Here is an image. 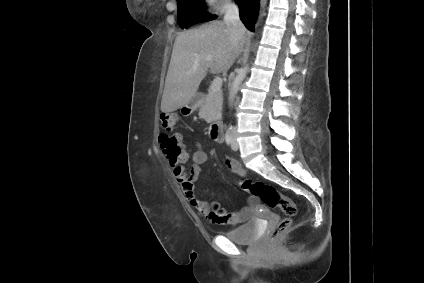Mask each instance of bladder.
Listing matches in <instances>:
<instances>
[{
    "label": "bladder",
    "mask_w": 424,
    "mask_h": 283,
    "mask_svg": "<svg viewBox=\"0 0 424 283\" xmlns=\"http://www.w3.org/2000/svg\"><path fill=\"white\" fill-rule=\"evenodd\" d=\"M260 234V226L257 220L251 219L247 223L226 233V238L236 244H251Z\"/></svg>",
    "instance_id": "1"
}]
</instances>
